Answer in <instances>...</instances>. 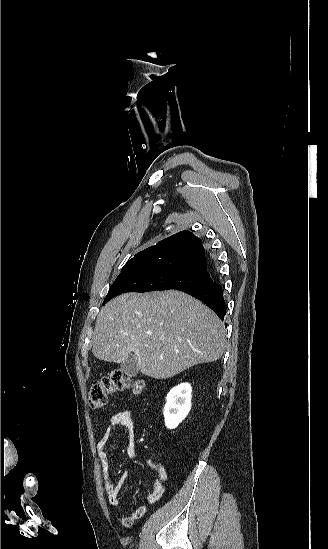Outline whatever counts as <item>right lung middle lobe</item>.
Listing matches in <instances>:
<instances>
[{"label":"right lung middle lobe","mask_w":328,"mask_h":549,"mask_svg":"<svg viewBox=\"0 0 328 549\" xmlns=\"http://www.w3.org/2000/svg\"><path fill=\"white\" fill-rule=\"evenodd\" d=\"M206 277L193 273L161 268H138L121 271L110 287L104 304L125 292H149L154 290H185L208 283Z\"/></svg>","instance_id":"right-lung-middle-lobe-1"}]
</instances>
